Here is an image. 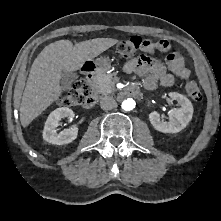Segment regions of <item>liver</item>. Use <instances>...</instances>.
Returning a JSON list of instances; mask_svg holds the SVG:
<instances>
[{"label":"liver","instance_id":"obj_1","mask_svg":"<svg viewBox=\"0 0 221 221\" xmlns=\"http://www.w3.org/2000/svg\"><path fill=\"white\" fill-rule=\"evenodd\" d=\"M118 42L96 38L77 43L59 40L46 46L34 60L20 106V122L27 127L46 110L61 93L62 71L73 72Z\"/></svg>","mask_w":221,"mask_h":221}]
</instances>
